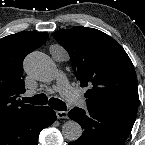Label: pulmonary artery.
<instances>
[{"label": "pulmonary artery", "mask_w": 145, "mask_h": 145, "mask_svg": "<svg viewBox=\"0 0 145 145\" xmlns=\"http://www.w3.org/2000/svg\"><path fill=\"white\" fill-rule=\"evenodd\" d=\"M58 90L72 105L86 108L87 105L85 98L71 86L68 79L62 72L58 75Z\"/></svg>", "instance_id": "1"}]
</instances>
